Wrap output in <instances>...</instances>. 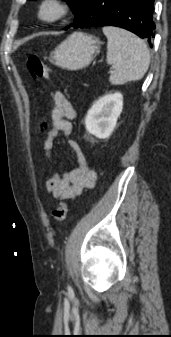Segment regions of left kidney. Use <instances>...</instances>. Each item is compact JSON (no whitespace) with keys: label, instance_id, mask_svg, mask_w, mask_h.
Segmentation results:
<instances>
[{"label":"left kidney","instance_id":"1","mask_svg":"<svg viewBox=\"0 0 171 337\" xmlns=\"http://www.w3.org/2000/svg\"><path fill=\"white\" fill-rule=\"evenodd\" d=\"M123 108L121 93L108 94L99 98L89 109L85 118L86 130L100 139L109 137Z\"/></svg>","mask_w":171,"mask_h":337}]
</instances>
